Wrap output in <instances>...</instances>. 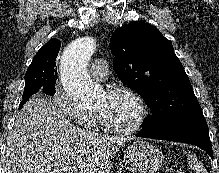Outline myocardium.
Wrapping results in <instances>:
<instances>
[{
    "label": "myocardium",
    "instance_id": "f54148a6",
    "mask_svg": "<svg viewBox=\"0 0 219 173\" xmlns=\"http://www.w3.org/2000/svg\"><path fill=\"white\" fill-rule=\"evenodd\" d=\"M106 93L108 95H115L119 93L129 95L137 103L139 108V115L136 122L132 126L127 128H119L110 124L101 113L96 111L97 118L103 129L107 132L121 136H128L137 133L145 124L149 114V109L144 98L133 88L124 85L112 86L106 90Z\"/></svg>",
    "mask_w": 219,
    "mask_h": 173
}]
</instances>
